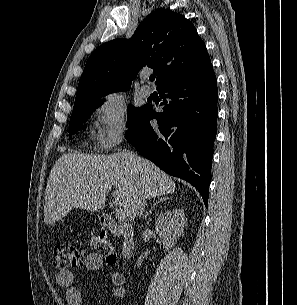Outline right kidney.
<instances>
[{
  "mask_svg": "<svg viewBox=\"0 0 297 305\" xmlns=\"http://www.w3.org/2000/svg\"><path fill=\"white\" fill-rule=\"evenodd\" d=\"M185 214L181 209L169 210L162 213L155 222L156 232L163 242V248H172L183 233Z\"/></svg>",
  "mask_w": 297,
  "mask_h": 305,
  "instance_id": "ca27d5eb",
  "label": "right kidney"
}]
</instances>
